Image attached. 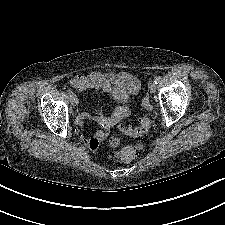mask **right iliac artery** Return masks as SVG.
<instances>
[{
  "mask_svg": "<svg viewBox=\"0 0 225 225\" xmlns=\"http://www.w3.org/2000/svg\"><path fill=\"white\" fill-rule=\"evenodd\" d=\"M73 94V92L69 89V90H67V95L68 96H71Z\"/></svg>",
  "mask_w": 225,
  "mask_h": 225,
  "instance_id": "obj_1",
  "label": "right iliac artery"
}]
</instances>
